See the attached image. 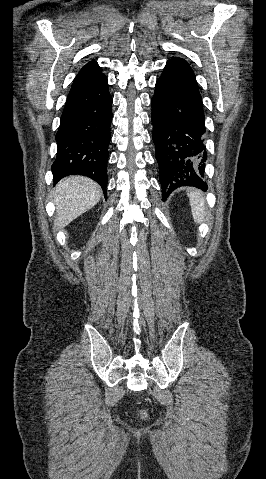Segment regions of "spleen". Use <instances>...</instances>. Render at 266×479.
<instances>
[{
  "instance_id": "1",
  "label": "spleen",
  "mask_w": 266,
  "mask_h": 479,
  "mask_svg": "<svg viewBox=\"0 0 266 479\" xmlns=\"http://www.w3.org/2000/svg\"><path fill=\"white\" fill-rule=\"evenodd\" d=\"M187 196L190 201L192 216L197 224H200L205 220L206 207L203 193L196 189H190L187 191Z\"/></svg>"
}]
</instances>
